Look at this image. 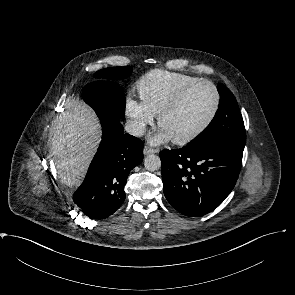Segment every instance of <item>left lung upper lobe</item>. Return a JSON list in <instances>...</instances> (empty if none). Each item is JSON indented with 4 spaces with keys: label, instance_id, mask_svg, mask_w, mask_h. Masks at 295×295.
<instances>
[{
    "label": "left lung upper lobe",
    "instance_id": "left-lung-upper-lobe-1",
    "mask_svg": "<svg viewBox=\"0 0 295 295\" xmlns=\"http://www.w3.org/2000/svg\"><path fill=\"white\" fill-rule=\"evenodd\" d=\"M217 89L220 94V102L214 119L204 132L187 146L223 144L243 151L246 133L237 101L232 92L223 84H218Z\"/></svg>",
    "mask_w": 295,
    "mask_h": 295
}]
</instances>
